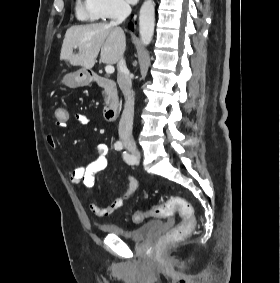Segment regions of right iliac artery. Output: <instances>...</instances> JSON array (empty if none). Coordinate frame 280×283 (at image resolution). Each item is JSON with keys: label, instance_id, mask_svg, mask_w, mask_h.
I'll use <instances>...</instances> for the list:
<instances>
[{"label": "right iliac artery", "instance_id": "1", "mask_svg": "<svg viewBox=\"0 0 280 283\" xmlns=\"http://www.w3.org/2000/svg\"><path fill=\"white\" fill-rule=\"evenodd\" d=\"M114 148L118 151L122 150L123 149V144L122 142L120 141H117L115 144H114Z\"/></svg>", "mask_w": 280, "mask_h": 283}]
</instances>
